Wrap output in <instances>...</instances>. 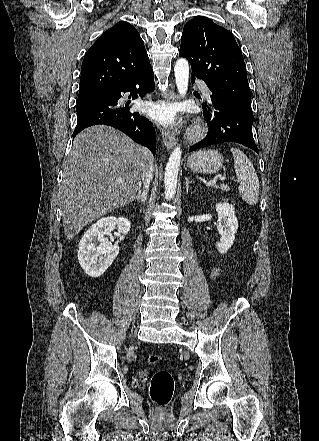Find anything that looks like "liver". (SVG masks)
<instances>
[{"mask_svg": "<svg viewBox=\"0 0 319 441\" xmlns=\"http://www.w3.org/2000/svg\"><path fill=\"white\" fill-rule=\"evenodd\" d=\"M149 151L112 127L95 125L74 139L64 163L61 209L67 239L136 196ZM124 180L119 183L118 179Z\"/></svg>", "mask_w": 319, "mask_h": 441, "instance_id": "obj_1", "label": "liver"}]
</instances>
